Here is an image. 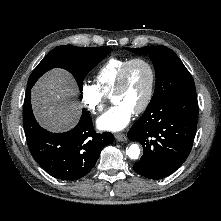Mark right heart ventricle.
<instances>
[{
    "label": "right heart ventricle",
    "mask_w": 221,
    "mask_h": 221,
    "mask_svg": "<svg viewBox=\"0 0 221 221\" xmlns=\"http://www.w3.org/2000/svg\"><path fill=\"white\" fill-rule=\"evenodd\" d=\"M129 59L130 58H110L98 70L95 76L97 87L105 96L112 95L121 69Z\"/></svg>",
    "instance_id": "right-heart-ventricle-1"
}]
</instances>
